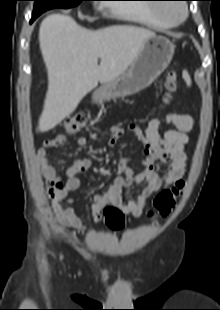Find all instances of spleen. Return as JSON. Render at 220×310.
<instances>
[{
	"instance_id": "3e777b00",
	"label": "spleen",
	"mask_w": 220,
	"mask_h": 310,
	"mask_svg": "<svg viewBox=\"0 0 220 310\" xmlns=\"http://www.w3.org/2000/svg\"><path fill=\"white\" fill-rule=\"evenodd\" d=\"M183 78L188 86L191 85V79L187 71L183 72Z\"/></svg>"
}]
</instances>
